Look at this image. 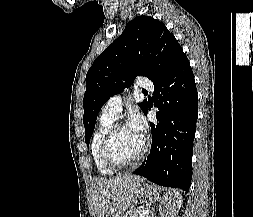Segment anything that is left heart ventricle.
Here are the masks:
<instances>
[{"label": "left heart ventricle", "mask_w": 253, "mask_h": 217, "mask_svg": "<svg viewBox=\"0 0 253 217\" xmlns=\"http://www.w3.org/2000/svg\"><path fill=\"white\" fill-rule=\"evenodd\" d=\"M144 137L128 125L121 127L110 144V153L120 162L134 159L142 148Z\"/></svg>", "instance_id": "b2bd125f"}]
</instances>
